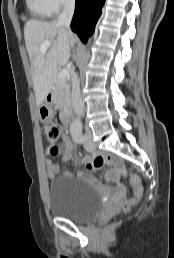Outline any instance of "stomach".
<instances>
[{"instance_id": "0dacf381", "label": "stomach", "mask_w": 174, "mask_h": 258, "mask_svg": "<svg viewBox=\"0 0 174 258\" xmlns=\"http://www.w3.org/2000/svg\"><path fill=\"white\" fill-rule=\"evenodd\" d=\"M39 117L40 120L43 122L50 121L54 116V108L53 103L50 99L46 98L44 99L43 103L40 105L39 109Z\"/></svg>"}]
</instances>
